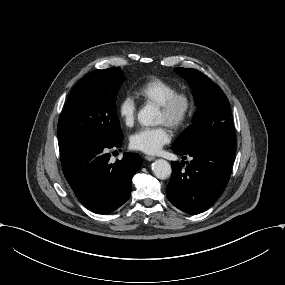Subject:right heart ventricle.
<instances>
[{"instance_id": "e07e8e85", "label": "right heart ventricle", "mask_w": 285, "mask_h": 285, "mask_svg": "<svg viewBox=\"0 0 285 285\" xmlns=\"http://www.w3.org/2000/svg\"><path fill=\"white\" fill-rule=\"evenodd\" d=\"M176 89L177 84L175 82L160 77H152L135 89V95L142 103L158 105Z\"/></svg>"}]
</instances>
